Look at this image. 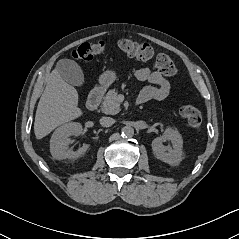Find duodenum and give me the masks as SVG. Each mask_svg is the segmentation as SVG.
I'll list each match as a JSON object with an SVG mask.
<instances>
[{
    "label": "duodenum",
    "instance_id": "410a0bca",
    "mask_svg": "<svg viewBox=\"0 0 239 239\" xmlns=\"http://www.w3.org/2000/svg\"><path fill=\"white\" fill-rule=\"evenodd\" d=\"M102 94H103V89L101 87H95L88 99H87V108L89 110H96L98 105H99V102H100V99L102 97ZM140 104V103H139Z\"/></svg>",
    "mask_w": 239,
    "mask_h": 239
}]
</instances>
